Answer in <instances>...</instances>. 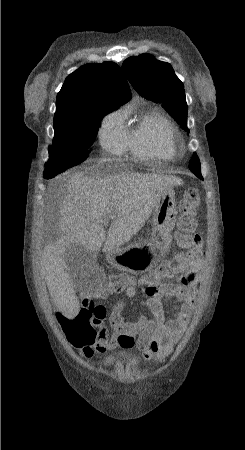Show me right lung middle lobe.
I'll list each match as a JSON object with an SVG mask.
<instances>
[{"instance_id": "dd1d6c3e", "label": "right lung middle lobe", "mask_w": 245, "mask_h": 450, "mask_svg": "<svg viewBox=\"0 0 245 450\" xmlns=\"http://www.w3.org/2000/svg\"><path fill=\"white\" fill-rule=\"evenodd\" d=\"M118 107L113 103L93 104L84 112L54 118L55 135L44 178L50 179L86 160L103 115Z\"/></svg>"}]
</instances>
